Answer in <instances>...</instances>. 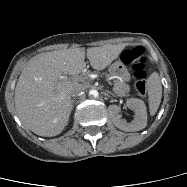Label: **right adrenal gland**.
I'll use <instances>...</instances> for the list:
<instances>
[{"label":"right adrenal gland","mask_w":187,"mask_h":187,"mask_svg":"<svg viewBox=\"0 0 187 187\" xmlns=\"http://www.w3.org/2000/svg\"><path fill=\"white\" fill-rule=\"evenodd\" d=\"M72 109L74 108V99H72Z\"/></svg>","instance_id":"obj_1"}]
</instances>
